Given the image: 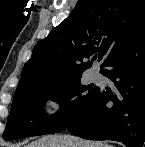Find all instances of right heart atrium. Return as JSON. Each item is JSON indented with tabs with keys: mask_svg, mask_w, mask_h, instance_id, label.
I'll list each match as a JSON object with an SVG mask.
<instances>
[{
	"mask_svg": "<svg viewBox=\"0 0 145 147\" xmlns=\"http://www.w3.org/2000/svg\"><path fill=\"white\" fill-rule=\"evenodd\" d=\"M44 110L50 118L57 117L65 108L67 97L62 89H53L44 96Z\"/></svg>",
	"mask_w": 145,
	"mask_h": 147,
	"instance_id": "1",
	"label": "right heart atrium"
}]
</instances>
